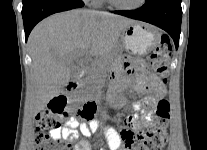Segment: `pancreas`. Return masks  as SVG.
<instances>
[{
	"label": "pancreas",
	"mask_w": 207,
	"mask_h": 150,
	"mask_svg": "<svg viewBox=\"0 0 207 150\" xmlns=\"http://www.w3.org/2000/svg\"><path fill=\"white\" fill-rule=\"evenodd\" d=\"M109 58H104L96 61L89 71L90 76L83 80L81 87L87 93H91L95 88L100 87L103 83V77L109 68Z\"/></svg>",
	"instance_id": "1"
}]
</instances>
